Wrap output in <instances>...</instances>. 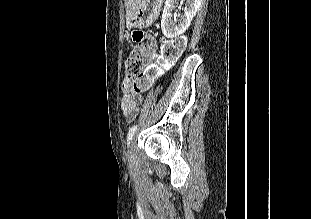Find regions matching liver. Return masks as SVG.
<instances>
[{
  "label": "liver",
  "instance_id": "1",
  "mask_svg": "<svg viewBox=\"0 0 311 219\" xmlns=\"http://www.w3.org/2000/svg\"><path fill=\"white\" fill-rule=\"evenodd\" d=\"M139 0H125L126 19L129 20L138 6Z\"/></svg>",
  "mask_w": 311,
  "mask_h": 219
}]
</instances>
